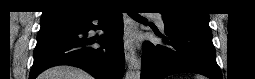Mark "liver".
I'll return each instance as SVG.
<instances>
[{
  "instance_id": "liver-1",
  "label": "liver",
  "mask_w": 255,
  "mask_h": 79,
  "mask_svg": "<svg viewBox=\"0 0 255 79\" xmlns=\"http://www.w3.org/2000/svg\"><path fill=\"white\" fill-rule=\"evenodd\" d=\"M39 79H93L85 71L72 66H56L43 72Z\"/></svg>"
}]
</instances>
